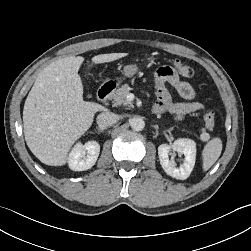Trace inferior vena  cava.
Segmentation results:
<instances>
[{
    "label": "inferior vena cava",
    "instance_id": "1",
    "mask_svg": "<svg viewBox=\"0 0 251 251\" xmlns=\"http://www.w3.org/2000/svg\"><path fill=\"white\" fill-rule=\"evenodd\" d=\"M118 121L116 114L112 112H104L97 116V124L102 128L110 127Z\"/></svg>",
    "mask_w": 251,
    "mask_h": 251
}]
</instances>
